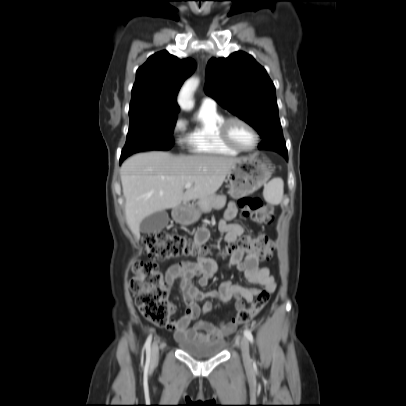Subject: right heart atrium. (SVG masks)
Wrapping results in <instances>:
<instances>
[{
    "label": "right heart atrium",
    "instance_id": "right-heart-atrium-1",
    "mask_svg": "<svg viewBox=\"0 0 406 406\" xmlns=\"http://www.w3.org/2000/svg\"><path fill=\"white\" fill-rule=\"evenodd\" d=\"M186 124L187 123L185 119H183L182 117H177L173 125L174 133L180 134L184 132V130L186 129Z\"/></svg>",
    "mask_w": 406,
    "mask_h": 406
}]
</instances>
